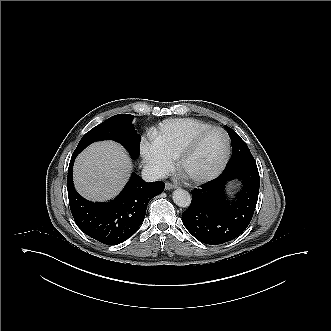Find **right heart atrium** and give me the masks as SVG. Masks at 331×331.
<instances>
[{"label": "right heart atrium", "mask_w": 331, "mask_h": 331, "mask_svg": "<svg viewBox=\"0 0 331 331\" xmlns=\"http://www.w3.org/2000/svg\"><path fill=\"white\" fill-rule=\"evenodd\" d=\"M141 155L144 162L156 175L169 173L174 164L173 157L165 150L157 147L146 139L141 142Z\"/></svg>", "instance_id": "obj_1"}]
</instances>
